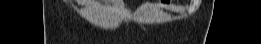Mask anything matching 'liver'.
Segmentation results:
<instances>
[{"mask_svg":"<svg viewBox=\"0 0 261 44\" xmlns=\"http://www.w3.org/2000/svg\"><path fill=\"white\" fill-rule=\"evenodd\" d=\"M113 5H120L122 10H123V12H125L122 0H113Z\"/></svg>","mask_w":261,"mask_h":44,"instance_id":"liver-1","label":"liver"}]
</instances>
